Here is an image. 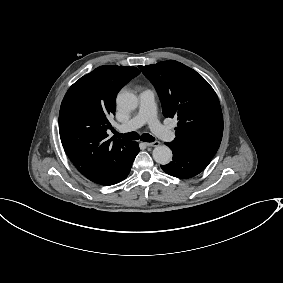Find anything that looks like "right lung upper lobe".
<instances>
[{"label":"right lung upper lobe","instance_id":"right-lung-upper-lobe-1","mask_svg":"<svg viewBox=\"0 0 283 283\" xmlns=\"http://www.w3.org/2000/svg\"><path fill=\"white\" fill-rule=\"evenodd\" d=\"M139 73L135 67L100 66L77 80L62 101L59 132L64 150L95 183L113 177L133 157L135 142L108 138L106 130L118 92Z\"/></svg>","mask_w":283,"mask_h":283}]
</instances>
